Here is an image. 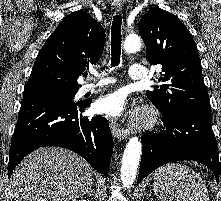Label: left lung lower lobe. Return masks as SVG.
<instances>
[{"label": "left lung lower lobe", "instance_id": "0a47b994", "mask_svg": "<svg viewBox=\"0 0 221 201\" xmlns=\"http://www.w3.org/2000/svg\"><path fill=\"white\" fill-rule=\"evenodd\" d=\"M164 129L142 135V158L137 184L156 168L172 161L195 160L209 167L219 180L221 162L209 108L163 113Z\"/></svg>", "mask_w": 221, "mask_h": 201}]
</instances>
